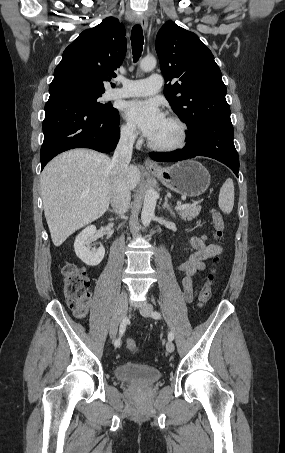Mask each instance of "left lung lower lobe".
Listing matches in <instances>:
<instances>
[{"instance_id":"left-lung-lower-lobe-1","label":"left lung lower lobe","mask_w":285,"mask_h":453,"mask_svg":"<svg viewBox=\"0 0 285 453\" xmlns=\"http://www.w3.org/2000/svg\"><path fill=\"white\" fill-rule=\"evenodd\" d=\"M234 132L231 122L205 121L188 128L186 145L180 151L150 153L155 161L174 162L195 156L214 158L227 165L238 176L239 157L233 142Z\"/></svg>"}]
</instances>
